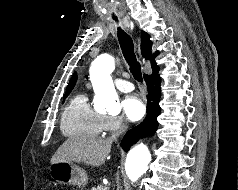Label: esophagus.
Wrapping results in <instances>:
<instances>
[{
  "label": "esophagus",
  "instance_id": "esophagus-1",
  "mask_svg": "<svg viewBox=\"0 0 238 190\" xmlns=\"http://www.w3.org/2000/svg\"><path fill=\"white\" fill-rule=\"evenodd\" d=\"M137 51H138V53H140V48H139V45H138V47H137Z\"/></svg>",
  "mask_w": 238,
  "mask_h": 190
}]
</instances>
